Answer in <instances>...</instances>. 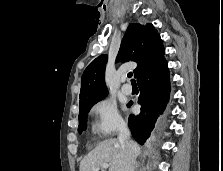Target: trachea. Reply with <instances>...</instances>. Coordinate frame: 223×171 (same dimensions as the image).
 I'll return each instance as SVG.
<instances>
[{
    "label": "trachea",
    "instance_id": "obj_1",
    "mask_svg": "<svg viewBox=\"0 0 223 171\" xmlns=\"http://www.w3.org/2000/svg\"><path fill=\"white\" fill-rule=\"evenodd\" d=\"M127 76H128V78H132L133 73L129 72ZM132 84H136V82L134 80H132Z\"/></svg>",
    "mask_w": 223,
    "mask_h": 171
}]
</instances>
